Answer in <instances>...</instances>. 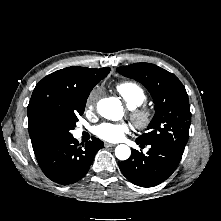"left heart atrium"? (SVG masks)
I'll return each mask as SVG.
<instances>
[{
    "label": "left heart atrium",
    "mask_w": 221,
    "mask_h": 221,
    "mask_svg": "<svg viewBox=\"0 0 221 221\" xmlns=\"http://www.w3.org/2000/svg\"><path fill=\"white\" fill-rule=\"evenodd\" d=\"M127 132L128 127L124 123H102L94 129L96 136L109 142L120 141Z\"/></svg>",
    "instance_id": "obj_1"
}]
</instances>
